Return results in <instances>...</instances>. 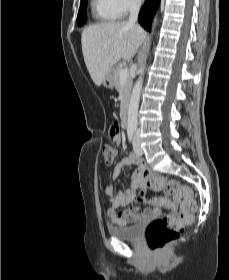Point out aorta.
Instances as JSON below:
<instances>
[{"mask_svg":"<svg viewBox=\"0 0 229 280\" xmlns=\"http://www.w3.org/2000/svg\"><path fill=\"white\" fill-rule=\"evenodd\" d=\"M139 73L140 76L133 87L130 102H129V108H128L127 127L128 130H133V131L136 130L138 125V107H139L141 90L143 86L144 67H141L139 69Z\"/></svg>","mask_w":229,"mask_h":280,"instance_id":"1","label":"aorta"}]
</instances>
